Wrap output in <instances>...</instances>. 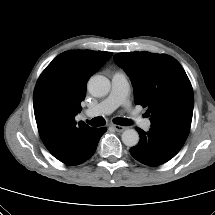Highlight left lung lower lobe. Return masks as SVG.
<instances>
[{
	"instance_id": "left-lung-lower-lobe-1",
	"label": "left lung lower lobe",
	"mask_w": 215,
	"mask_h": 215,
	"mask_svg": "<svg viewBox=\"0 0 215 215\" xmlns=\"http://www.w3.org/2000/svg\"><path fill=\"white\" fill-rule=\"evenodd\" d=\"M140 140L130 149L131 155L148 166L161 165L173 158L182 146L173 142L158 131L151 129L148 132L136 127Z\"/></svg>"
}]
</instances>
